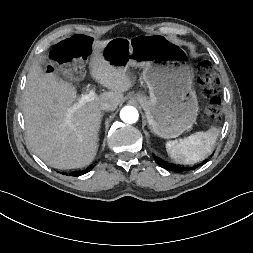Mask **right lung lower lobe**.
<instances>
[{"instance_id":"obj_1","label":"right lung lower lobe","mask_w":253,"mask_h":253,"mask_svg":"<svg viewBox=\"0 0 253 253\" xmlns=\"http://www.w3.org/2000/svg\"><path fill=\"white\" fill-rule=\"evenodd\" d=\"M82 174H84V173L81 172V173H79V174H74V176H78V175H82Z\"/></svg>"}]
</instances>
